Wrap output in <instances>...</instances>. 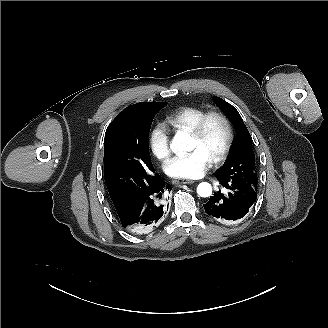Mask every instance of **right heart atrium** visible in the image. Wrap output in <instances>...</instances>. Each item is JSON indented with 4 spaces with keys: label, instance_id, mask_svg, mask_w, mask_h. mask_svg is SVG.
<instances>
[{
    "label": "right heart atrium",
    "instance_id": "obj_1",
    "mask_svg": "<svg viewBox=\"0 0 328 328\" xmlns=\"http://www.w3.org/2000/svg\"><path fill=\"white\" fill-rule=\"evenodd\" d=\"M148 146L150 152L160 160H165L170 156V135L167 126L162 121H156L150 127Z\"/></svg>",
    "mask_w": 328,
    "mask_h": 328
}]
</instances>
